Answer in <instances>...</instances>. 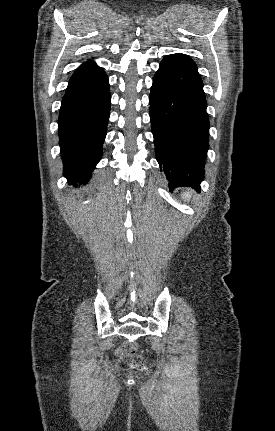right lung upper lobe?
<instances>
[{"label": "right lung upper lobe", "mask_w": 275, "mask_h": 431, "mask_svg": "<svg viewBox=\"0 0 275 431\" xmlns=\"http://www.w3.org/2000/svg\"><path fill=\"white\" fill-rule=\"evenodd\" d=\"M99 69H102V68L98 67L94 62L92 61L85 62L76 69V71L74 72L70 80H74L82 76L88 75Z\"/></svg>", "instance_id": "1"}]
</instances>
